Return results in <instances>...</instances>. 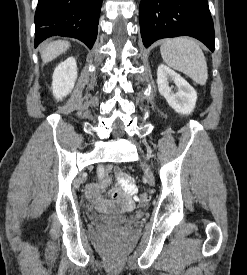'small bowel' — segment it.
<instances>
[{
    "label": "small bowel",
    "instance_id": "small-bowel-1",
    "mask_svg": "<svg viewBox=\"0 0 247 275\" xmlns=\"http://www.w3.org/2000/svg\"><path fill=\"white\" fill-rule=\"evenodd\" d=\"M111 167H107V172L103 176L102 180L92 182L85 188L87 198L97 207H105L107 202L103 197V192L108 189L110 196L117 200L119 207L128 211L134 206L135 200H137V188L133 183L131 177L121 171L115 169V177L117 184L109 188L111 183Z\"/></svg>",
    "mask_w": 247,
    "mask_h": 275
}]
</instances>
